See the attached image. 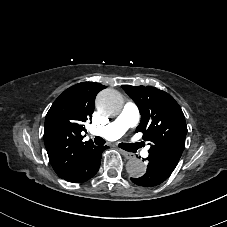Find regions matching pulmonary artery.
<instances>
[{"label": "pulmonary artery", "mask_w": 227, "mask_h": 227, "mask_svg": "<svg viewBox=\"0 0 227 227\" xmlns=\"http://www.w3.org/2000/svg\"><path fill=\"white\" fill-rule=\"evenodd\" d=\"M140 113L134 104H127L120 115L109 125L102 126L95 130L97 137L108 135L112 139L119 138L127 133L139 120Z\"/></svg>", "instance_id": "pulmonary-artery-1"}]
</instances>
